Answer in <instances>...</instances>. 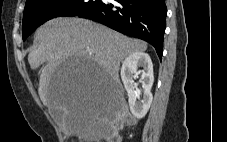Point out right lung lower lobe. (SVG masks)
I'll return each instance as SVG.
<instances>
[{"instance_id":"obj_1","label":"right lung lower lobe","mask_w":227,"mask_h":142,"mask_svg":"<svg viewBox=\"0 0 227 142\" xmlns=\"http://www.w3.org/2000/svg\"><path fill=\"white\" fill-rule=\"evenodd\" d=\"M115 1L117 4L102 1L78 16L149 42L161 59L167 15L165 0Z\"/></svg>"}]
</instances>
